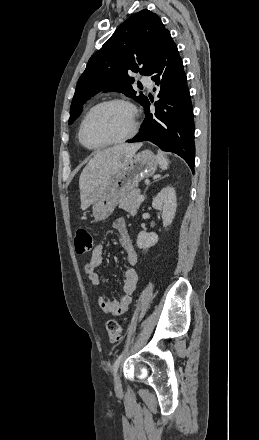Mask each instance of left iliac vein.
Returning a JSON list of instances; mask_svg holds the SVG:
<instances>
[{
  "label": "left iliac vein",
  "instance_id": "obj_1",
  "mask_svg": "<svg viewBox=\"0 0 259 440\" xmlns=\"http://www.w3.org/2000/svg\"><path fill=\"white\" fill-rule=\"evenodd\" d=\"M114 382H115V389L120 390L121 389V379H120L119 373L115 374Z\"/></svg>",
  "mask_w": 259,
  "mask_h": 440
}]
</instances>
